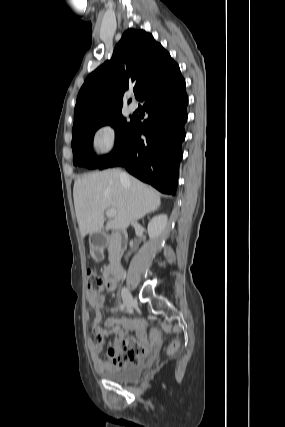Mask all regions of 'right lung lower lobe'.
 <instances>
[{"mask_svg": "<svg viewBox=\"0 0 285 427\" xmlns=\"http://www.w3.org/2000/svg\"><path fill=\"white\" fill-rule=\"evenodd\" d=\"M139 100L145 102L148 119L135 117L122 144L96 168L124 166L159 191L175 195L188 104L179 67L151 84Z\"/></svg>", "mask_w": 285, "mask_h": 427, "instance_id": "right-lung-lower-lobe-1", "label": "right lung lower lobe"}]
</instances>
